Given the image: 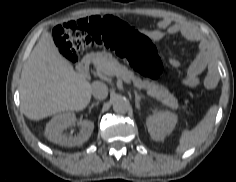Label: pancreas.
Returning <instances> with one entry per match:
<instances>
[{"label": "pancreas", "instance_id": "1", "mask_svg": "<svg viewBox=\"0 0 236 182\" xmlns=\"http://www.w3.org/2000/svg\"><path fill=\"white\" fill-rule=\"evenodd\" d=\"M92 62L96 70L106 75H117L127 77L134 82L138 88L147 90L148 94L172 109L178 108L176 97L168 89L155 82L142 80L136 77L126 66L120 64L112 54L108 52H97L92 54Z\"/></svg>", "mask_w": 236, "mask_h": 182}]
</instances>
